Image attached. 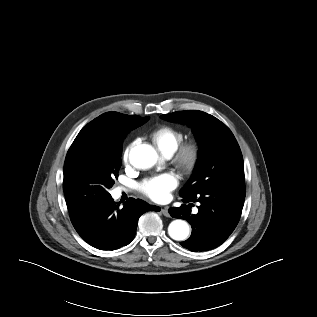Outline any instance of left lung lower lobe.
Instances as JSON below:
<instances>
[{
  "label": "left lung lower lobe",
  "instance_id": "left-lung-lower-lobe-1",
  "mask_svg": "<svg viewBox=\"0 0 317 317\" xmlns=\"http://www.w3.org/2000/svg\"><path fill=\"white\" fill-rule=\"evenodd\" d=\"M245 199V185H217L198 195L185 196L183 202H198V213H191L192 204L172 207L174 218L191 224L192 234L181 245L192 252L206 251L221 245L233 232L240 219Z\"/></svg>",
  "mask_w": 317,
  "mask_h": 317
}]
</instances>
